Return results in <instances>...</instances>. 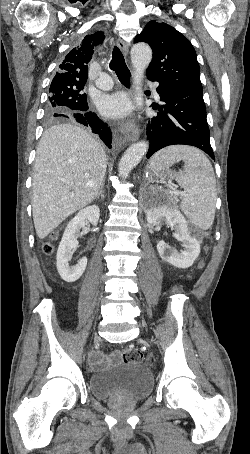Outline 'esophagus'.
<instances>
[{
	"label": "esophagus",
	"instance_id": "34e87169",
	"mask_svg": "<svg viewBox=\"0 0 250 454\" xmlns=\"http://www.w3.org/2000/svg\"><path fill=\"white\" fill-rule=\"evenodd\" d=\"M117 45L123 54L126 56L128 54V45L122 39L117 40ZM120 131L129 141H136L139 138V130L133 120H130L120 127Z\"/></svg>",
	"mask_w": 250,
	"mask_h": 454
}]
</instances>
